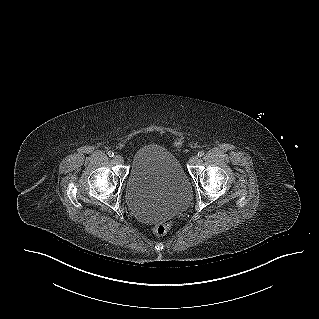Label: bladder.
Segmentation results:
<instances>
[{
	"label": "bladder",
	"mask_w": 319,
	"mask_h": 319,
	"mask_svg": "<svg viewBox=\"0 0 319 319\" xmlns=\"http://www.w3.org/2000/svg\"><path fill=\"white\" fill-rule=\"evenodd\" d=\"M190 178L178 158L151 144L137 149L126 179L128 206L143 220H162L184 208L191 199Z\"/></svg>",
	"instance_id": "1"
}]
</instances>
